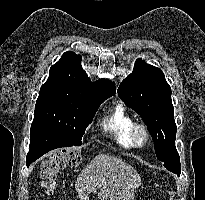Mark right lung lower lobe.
<instances>
[{
    "label": "right lung lower lobe",
    "instance_id": "right-lung-lower-lobe-1",
    "mask_svg": "<svg viewBox=\"0 0 205 200\" xmlns=\"http://www.w3.org/2000/svg\"><path fill=\"white\" fill-rule=\"evenodd\" d=\"M74 146L63 136L46 126H34L30 131V150L27 154L26 165H29L50 150Z\"/></svg>",
    "mask_w": 205,
    "mask_h": 200
}]
</instances>
